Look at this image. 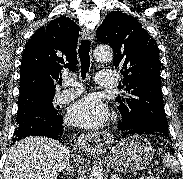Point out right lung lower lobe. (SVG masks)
I'll return each instance as SVG.
<instances>
[{"label":"right lung lower lobe","instance_id":"1","mask_svg":"<svg viewBox=\"0 0 183 179\" xmlns=\"http://www.w3.org/2000/svg\"><path fill=\"white\" fill-rule=\"evenodd\" d=\"M63 117L60 114L52 116H32L17 125L13 143L27 136H46L60 140L64 131Z\"/></svg>","mask_w":183,"mask_h":179}]
</instances>
